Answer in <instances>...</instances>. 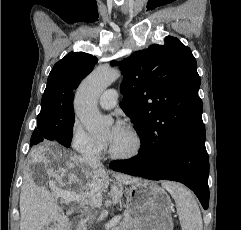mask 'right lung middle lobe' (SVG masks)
Wrapping results in <instances>:
<instances>
[{
	"label": "right lung middle lobe",
	"instance_id": "dd1d6c3e",
	"mask_svg": "<svg viewBox=\"0 0 241 230\" xmlns=\"http://www.w3.org/2000/svg\"><path fill=\"white\" fill-rule=\"evenodd\" d=\"M73 125L74 114L39 113L37 128L31 137V146L42 141L54 140L65 147H69L72 140Z\"/></svg>",
	"mask_w": 241,
	"mask_h": 230
}]
</instances>
